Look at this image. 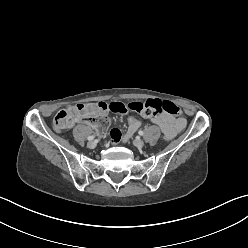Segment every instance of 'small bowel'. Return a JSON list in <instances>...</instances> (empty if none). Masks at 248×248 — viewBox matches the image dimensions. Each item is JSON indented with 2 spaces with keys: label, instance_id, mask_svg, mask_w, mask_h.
<instances>
[{
  "label": "small bowel",
  "instance_id": "1",
  "mask_svg": "<svg viewBox=\"0 0 248 248\" xmlns=\"http://www.w3.org/2000/svg\"><path fill=\"white\" fill-rule=\"evenodd\" d=\"M141 126V120L134 118ZM152 123L160 128L166 140H171L178 133L182 131L185 126V119L183 117H172L168 114L158 115L149 118ZM137 130L131 128L128 124V129L125 134H121L118 127H113L110 130V141L112 144H118L127 141Z\"/></svg>",
  "mask_w": 248,
  "mask_h": 248
}]
</instances>
